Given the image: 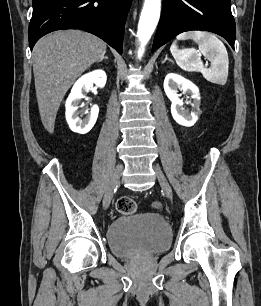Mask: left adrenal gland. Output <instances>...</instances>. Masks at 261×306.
<instances>
[{"label":"left adrenal gland","mask_w":261,"mask_h":306,"mask_svg":"<svg viewBox=\"0 0 261 306\" xmlns=\"http://www.w3.org/2000/svg\"><path fill=\"white\" fill-rule=\"evenodd\" d=\"M166 61H169V62H172V63H173V61H172L171 59H169V58L167 57V55L165 56V59H164V61H162V63H165Z\"/></svg>","instance_id":"a2214340"}]
</instances>
